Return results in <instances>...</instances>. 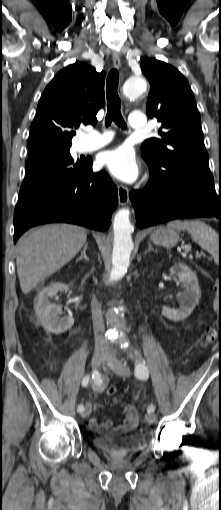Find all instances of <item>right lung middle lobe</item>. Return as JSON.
I'll return each instance as SVG.
<instances>
[{
  "label": "right lung middle lobe",
  "mask_w": 221,
  "mask_h": 510,
  "mask_svg": "<svg viewBox=\"0 0 221 510\" xmlns=\"http://www.w3.org/2000/svg\"><path fill=\"white\" fill-rule=\"evenodd\" d=\"M69 149L43 147L29 152L25 163L26 176L20 188L16 210L37 192L70 182L81 173L87 160L72 155Z\"/></svg>",
  "instance_id": "dd1d6c3e"
}]
</instances>
